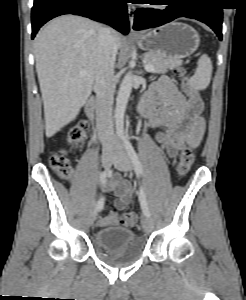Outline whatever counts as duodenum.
I'll list each match as a JSON object with an SVG mask.
<instances>
[{"label": "duodenum", "mask_w": 246, "mask_h": 300, "mask_svg": "<svg viewBox=\"0 0 246 300\" xmlns=\"http://www.w3.org/2000/svg\"><path fill=\"white\" fill-rule=\"evenodd\" d=\"M139 108L141 112H145L147 110L143 102L139 104ZM87 114L92 122H100L104 115V109L96 99H93L87 106Z\"/></svg>", "instance_id": "duodenum-1"}]
</instances>
